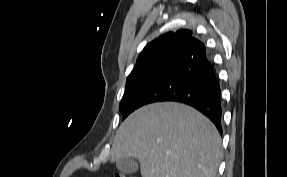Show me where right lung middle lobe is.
Returning <instances> with one entry per match:
<instances>
[{"mask_svg": "<svg viewBox=\"0 0 287 177\" xmlns=\"http://www.w3.org/2000/svg\"><path fill=\"white\" fill-rule=\"evenodd\" d=\"M182 62L179 58L169 57L154 63L153 65L142 68L131 73L127 77L126 89L120 102L119 109L121 113L136 100V98L158 77ZM126 116L123 117V119Z\"/></svg>", "mask_w": 287, "mask_h": 177, "instance_id": "dd1d6c3e", "label": "right lung middle lobe"}]
</instances>
